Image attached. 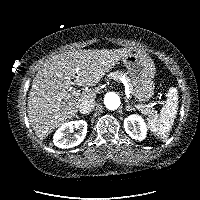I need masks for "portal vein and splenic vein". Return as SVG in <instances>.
I'll return each mask as SVG.
<instances>
[{
	"label": "portal vein and splenic vein",
	"instance_id": "obj_1",
	"mask_svg": "<svg viewBox=\"0 0 200 200\" xmlns=\"http://www.w3.org/2000/svg\"><path fill=\"white\" fill-rule=\"evenodd\" d=\"M127 97H129V96H127ZM137 107H138V108H142V106H140V105H137ZM147 108H148V107H147Z\"/></svg>",
	"mask_w": 200,
	"mask_h": 200
}]
</instances>
